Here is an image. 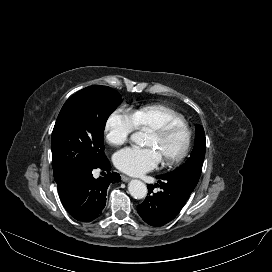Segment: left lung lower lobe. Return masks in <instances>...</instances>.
Wrapping results in <instances>:
<instances>
[{
  "mask_svg": "<svg viewBox=\"0 0 272 272\" xmlns=\"http://www.w3.org/2000/svg\"><path fill=\"white\" fill-rule=\"evenodd\" d=\"M156 178L159 179L162 191L153 193L154 186L148 185V196L137 206V210L149 225L163 226L178 215L196 185L167 175H159Z\"/></svg>",
  "mask_w": 272,
  "mask_h": 272,
  "instance_id": "0a47b994",
  "label": "left lung lower lobe"
}]
</instances>
